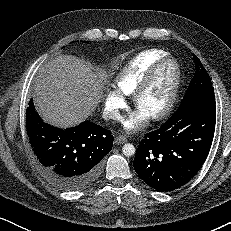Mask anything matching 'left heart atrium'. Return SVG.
<instances>
[{
	"instance_id": "obj_1",
	"label": "left heart atrium",
	"mask_w": 231,
	"mask_h": 231,
	"mask_svg": "<svg viewBox=\"0 0 231 231\" xmlns=\"http://www.w3.org/2000/svg\"><path fill=\"white\" fill-rule=\"evenodd\" d=\"M148 118L145 113L138 110L124 122V129L127 131H135L139 129Z\"/></svg>"
}]
</instances>
